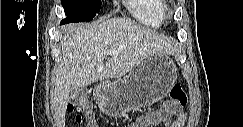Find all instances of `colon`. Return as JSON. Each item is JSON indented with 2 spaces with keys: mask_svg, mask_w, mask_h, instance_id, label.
<instances>
[{
  "mask_svg": "<svg viewBox=\"0 0 243 127\" xmlns=\"http://www.w3.org/2000/svg\"><path fill=\"white\" fill-rule=\"evenodd\" d=\"M185 104L186 95L181 85L175 84L170 89L169 100L165 103L164 108L161 110L160 116L152 117L150 120L152 123H170ZM88 108V103H86L84 100H81L79 102L70 103L68 106V111L74 114V119L76 123L82 124L84 120L83 113L84 111L88 110Z\"/></svg>",
  "mask_w": 243,
  "mask_h": 127,
  "instance_id": "5ec220e1",
  "label": "colon"
}]
</instances>
